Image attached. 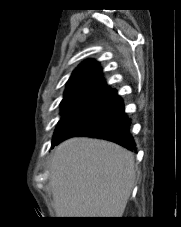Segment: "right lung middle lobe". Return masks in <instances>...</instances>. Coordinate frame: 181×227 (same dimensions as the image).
<instances>
[{"mask_svg": "<svg viewBox=\"0 0 181 227\" xmlns=\"http://www.w3.org/2000/svg\"><path fill=\"white\" fill-rule=\"evenodd\" d=\"M112 94L113 92H100L64 98L61 102L62 117L55 130L53 142L57 141L70 126L103 107Z\"/></svg>", "mask_w": 181, "mask_h": 227, "instance_id": "right-lung-middle-lobe-1", "label": "right lung middle lobe"}]
</instances>
